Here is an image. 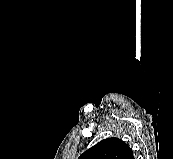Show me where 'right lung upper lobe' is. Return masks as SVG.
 I'll use <instances>...</instances> for the list:
<instances>
[{
    "mask_svg": "<svg viewBox=\"0 0 173 159\" xmlns=\"http://www.w3.org/2000/svg\"><path fill=\"white\" fill-rule=\"evenodd\" d=\"M78 159H134V156L125 142L113 137L97 143Z\"/></svg>",
    "mask_w": 173,
    "mask_h": 159,
    "instance_id": "cb5924a9",
    "label": "right lung upper lobe"
}]
</instances>
